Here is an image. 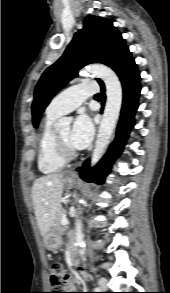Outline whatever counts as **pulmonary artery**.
Here are the masks:
<instances>
[{
	"instance_id": "obj_1",
	"label": "pulmonary artery",
	"mask_w": 170,
	"mask_h": 293,
	"mask_svg": "<svg viewBox=\"0 0 170 293\" xmlns=\"http://www.w3.org/2000/svg\"><path fill=\"white\" fill-rule=\"evenodd\" d=\"M98 91L95 83H82L65 89L55 96L48 105L46 112L52 115H64L79 107L83 101Z\"/></svg>"
}]
</instances>
